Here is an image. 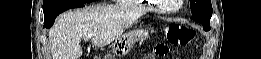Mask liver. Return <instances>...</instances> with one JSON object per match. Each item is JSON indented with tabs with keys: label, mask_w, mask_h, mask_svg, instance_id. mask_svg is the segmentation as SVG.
<instances>
[{
	"label": "liver",
	"mask_w": 261,
	"mask_h": 59,
	"mask_svg": "<svg viewBox=\"0 0 261 59\" xmlns=\"http://www.w3.org/2000/svg\"><path fill=\"white\" fill-rule=\"evenodd\" d=\"M141 16L109 6H94L61 14L49 30L53 59H79L80 42L90 35L95 46L103 47L118 39Z\"/></svg>",
	"instance_id": "liver-1"
}]
</instances>
